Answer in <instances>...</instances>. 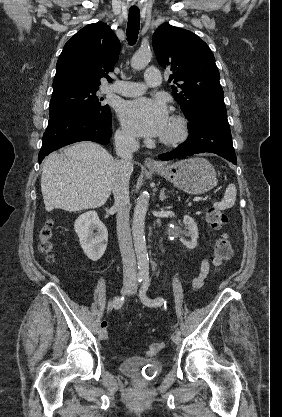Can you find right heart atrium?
<instances>
[{
  "instance_id": "1",
  "label": "right heart atrium",
  "mask_w": 282,
  "mask_h": 417,
  "mask_svg": "<svg viewBox=\"0 0 282 417\" xmlns=\"http://www.w3.org/2000/svg\"><path fill=\"white\" fill-rule=\"evenodd\" d=\"M118 142L121 145H124L128 148H133L135 145V140L133 137L125 130H120L117 134Z\"/></svg>"
}]
</instances>
